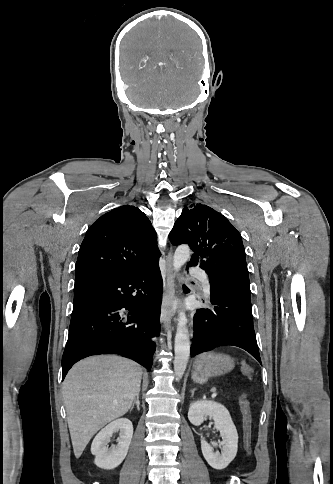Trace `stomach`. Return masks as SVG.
I'll return each instance as SVG.
<instances>
[{"instance_id":"stomach-1","label":"stomach","mask_w":333,"mask_h":484,"mask_svg":"<svg viewBox=\"0 0 333 484\" xmlns=\"http://www.w3.org/2000/svg\"><path fill=\"white\" fill-rule=\"evenodd\" d=\"M234 365V360L227 354L203 353L194 359L192 380L204 384L212 376L230 372Z\"/></svg>"}]
</instances>
